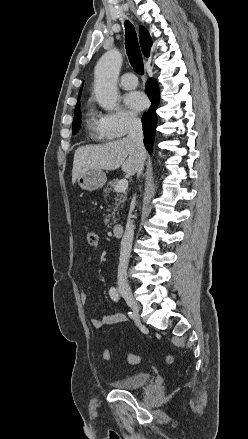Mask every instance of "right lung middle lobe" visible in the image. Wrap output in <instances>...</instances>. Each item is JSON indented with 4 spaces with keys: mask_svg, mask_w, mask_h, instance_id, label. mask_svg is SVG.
Listing matches in <instances>:
<instances>
[{
    "mask_svg": "<svg viewBox=\"0 0 248 439\" xmlns=\"http://www.w3.org/2000/svg\"><path fill=\"white\" fill-rule=\"evenodd\" d=\"M81 125V112L80 109L75 111L73 124H72V133L76 134Z\"/></svg>",
    "mask_w": 248,
    "mask_h": 439,
    "instance_id": "obj_1",
    "label": "right lung middle lobe"
}]
</instances>
